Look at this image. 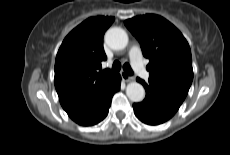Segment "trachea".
<instances>
[{"label":"trachea","mask_w":230,"mask_h":155,"mask_svg":"<svg viewBox=\"0 0 230 155\" xmlns=\"http://www.w3.org/2000/svg\"><path fill=\"white\" fill-rule=\"evenodd\" d=\"M121 69V63L119 61H115L112 65V70L115 72L120 71ZM123 70L127 75H133V70L131 69V66L128 63H125L123 65Z\"/></svg>","instance_id":"3493384b"}]
</instances>
